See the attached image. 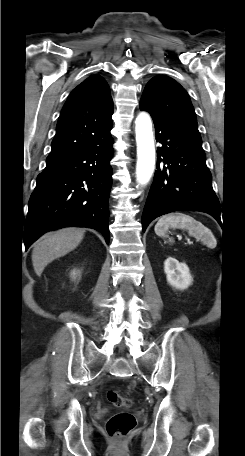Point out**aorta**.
Instances as JSON below:
<instances>
[{
    "label": "aorta",
    "instance_id": "1",
    "mask_svg": "<svg viewBox=\"0 0 245 456\" xmlns=\"http://www.w3.org/2000/svg\"><path fill=\"white\" fill-rule=\"evenodd\" d=\"M137 144L136 181L146 185L155 169V145L150 116L141 112L135 120Z\"/></svg>",
    "mask_w": 245,
    "mask_h": 456
}]
</instances>
